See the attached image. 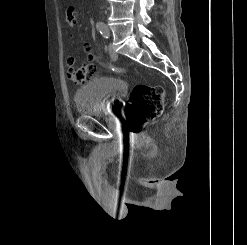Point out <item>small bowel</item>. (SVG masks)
Masks as SVG:
<instances>
[{
    "instance_id": "small-bowel-1",
    "label": "small bowel",
    "mask_w": 247,
    "mask_h": 245,
    "mask_svg": "<svg viewBox=\"0 0 247 245\" xmlns=\"http://www.w3.org/2000/svg\"><path fill=\"white\" fill-rule=\"evenodd\" d=\"M66 18L69 25H73L75 22V11L72 8H68L66 11Z\"/></svg>"
}]
</instances>
